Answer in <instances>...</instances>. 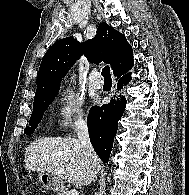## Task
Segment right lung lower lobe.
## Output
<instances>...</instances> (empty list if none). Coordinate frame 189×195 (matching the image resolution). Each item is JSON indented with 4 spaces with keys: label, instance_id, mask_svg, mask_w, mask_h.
<instances>
[{
    "label": "right lung lower lobe",
    "instance_id": "obj_1",
    "mask_svg": "<svg viewBox=\"0 0 189 195\" xmlns=\"http://www.w3.org/2000/svg\"><path fill=\"white\" fill-rule=\"evenodd\" d=\"M131 80V73L119 77L117 89L120 90ZM125 96H114L105 105L94 106L88 115L89 137L95 152L103 162H108L114 137L118 129V120L125 110Z\"/></svg>",
    "mask_w": 189,
    "mask_h": 195
}]
</instances>
